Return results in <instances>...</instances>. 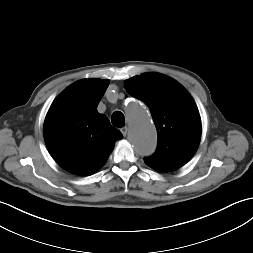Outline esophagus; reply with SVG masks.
Returning <instances> with one entry per match:
<instances>
[{"mask_svg": "<svg viewBox=\"0 0 253 253\" xmlns=\"http://www.w3.org/2000/svg\"><path fill=\"white\" fill-rule=\"evenodd\" d=\"M121 132H122V134L124 135V136H126L127 135V132H128V128L125 126V127H122L121 128Z\"/></svg>", "mask_w": 253, "mask_h": 253, "instance_id": "obj_1", "label": "esophagus"}]
</instances>
